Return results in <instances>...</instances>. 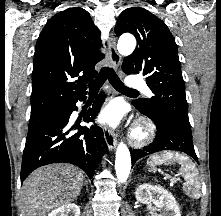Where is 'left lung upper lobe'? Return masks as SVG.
I'll return each mask as SVG.
<instances>
[{
  "mask_svg": "<svg viewBox=\"0 0 221 216\" xmlns=\"http://www.w3.org/2000/svg\"><path fill=\"white\" fill-rule=\"evenodd\" d=\"M132 33L138 42L134 52L122 64L125 73L143 74L154 93L150 99L136 101L145 113L169 118L191 129L185 96V83L177 45L167 25L140 7L124 10L115 33Z\"/></svg>",
  "mask_w": 221,
  "mask_h": 216,
  "instance_id": "left-lung-upper-lobe-1",
  "label": "left lung upper lobe"
}]
</instances>
